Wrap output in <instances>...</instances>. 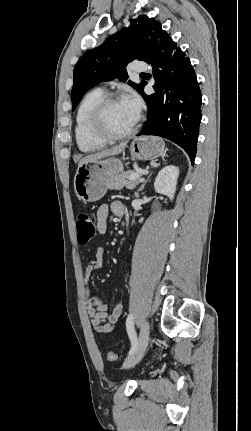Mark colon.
Segmentation results:
<instances>
[{"label": "colon", "mask_w": 251, "mask_h": 431, "mask_svg": "<svg viewBox=\"0 0 251 431\" xmlns=\"http://www.w3.org/2000/svg\"><path fill=\"white\" fill-rule=\"evenodd\" d=\"M76 227L79 244L87 245L90 243L96 233L95 225L91 216L87 213H80L76 220ZM107 359L114 362L118 360V356L114 352H108Z\"/></svg>", "instance_id": "colon-1"}]
</instances>
